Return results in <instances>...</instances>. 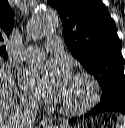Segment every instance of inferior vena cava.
I'll use <instances>...</instances> for the list:
<instances>
[{
  "label": "inferior vena cava",
  "mask_w": 125,
  "mask_h": 128,
  "mask_svg": "<svg viewBox=\"0 0 125 128\" xmlns=\"http://www.w3.org/2000/svg\"><path fill=\"white\" fill-rule=\"evenodd\" d=\"M38 110V105L35 102H26L22 106L19 119L20 126L18 128H27L31 125V122L35 119Z\"/></svg>",
  "instance_id": "obj_1"
}]
</instances>
